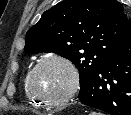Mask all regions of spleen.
<instances>
[{
    "instance_id": "1",
    "label": "spleen",
    "mask_w": 131,
    "mask_h": 115,
    "mask_svg": "<svg viewBox=\"0 0 131 115\" xmlns=\"http://www.w3.org/2000/svg\"><path fill=\"white\" fill-rule=\"evenodd\" d=\"M90 115H101L100 113L93 112Z\"/></svg>"
}]
</instances>
